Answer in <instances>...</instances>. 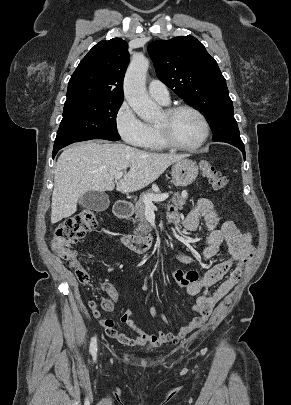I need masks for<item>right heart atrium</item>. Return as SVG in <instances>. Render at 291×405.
<instances>
[{
	"instance_id": "d8ad5b80",
	"label": "right heart atrium",
	"mask_w": 291,
	"mask_h": 405,
	"mask_svg": "<svg viewBox=\"0 0 291 405\" xmlns=\"http://www.w3.org/2000/svg\"><path fill=\"white\" fill-rule=\"evenodd\" d=\"M115 126L121 138L134 147H144L149 137V126L143 122L127 102L115 114Z\"/></svg>"
}]
</instances>
